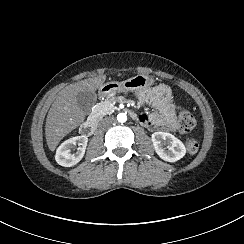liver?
Wrapping results in <instances>:
<instances>
[{
    "mask_svg": "<svg viewBox=\"0 0 244 244\" xmlns=\"http://www.w3.org/2000/svg\"><path fill=\"white\" fill-rule=\"evenodd\" d=\"M105 79V75L85 79L66 86L58 93L48 112L45 125L46 142L51 151L85 119V114L77 104L76 95L81 91L94 92Z\"/></svg>",
    "mask_w": 244,
    "mask_h": 244,
    "instance_id": "obj_1",
    "label": "liver"
}]
</instances>
